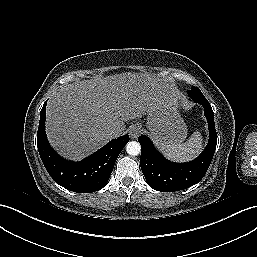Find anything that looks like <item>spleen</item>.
Returning a JSON list of instances; mask_svg holds the SVG:
<instances>
[{"instance_id":"1","label":"spleen","mask_w":257,"mask_h":257,"mask_svg":"<svg viewBox=\"0 0 257 257\" xmlns=\"http://www.w3.org/2000/svg\"><path fill=\"white\" fill-rule=\"evenodd\" d=\"M203 148V139L200 132L196 131L185 143L174 142L162 147L164 155L177 162L190 161L200 154Z\"/></svg>"}]
</instances>
